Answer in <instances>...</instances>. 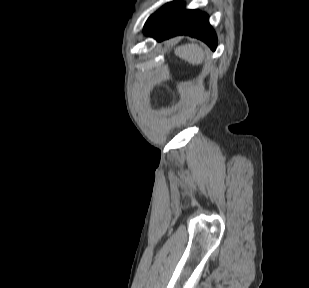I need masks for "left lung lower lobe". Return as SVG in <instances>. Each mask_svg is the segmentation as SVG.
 <instances>
[{
  "mask_svg": "<svg viewBox=\"0 0 309 288\" xmlns=\"http://www.w3.org/2000/svg\"><path fill=\"white\" fill-rule=\"evenodd\" d=\"M183 5L178 1L165 4L148 18L144 34L157 41L185 34L204 41L214 51L217 38L208 16L198 10H186Z\"/></svg>",
  "mask_w": 309,
  "mask_h": 288,
  "instance_id": "obj_1",
  "label": "left lung lower lobe"
}]
</instances>
